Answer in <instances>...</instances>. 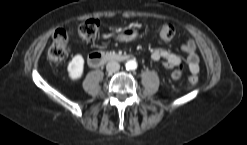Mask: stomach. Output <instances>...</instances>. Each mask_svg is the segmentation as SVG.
<instances>
[{"label": "stomach", "mask_w": 247, "mask_h": 145, "mask_svg": "<svg viewBox=\"0 0 247 145\" xmlns=\"http://www.w3.org/2000/svg\"><path fill=\"white\" fill-rule=\"evenodd\" d=\"M138 36V31L137 29L130 25L127 27H124L118 34V40L122 42H129L134 39H136Z\"/></svg>", "instance_id": "obj_1"}]
</instances>
